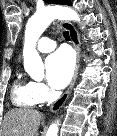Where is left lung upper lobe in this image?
Here are the masks:
<instances>
[{"label":"left lung upper lobe","instance_id":"left-lung-upper-lobe-1","mask_svg":"<svg viewBox=\"0 0 117 136\" xmlns=\"http://www.w3.org/2000/svg\"><path fill=\"white\" fill-rule=\"evenodd\" d=\"M46 3L51 4H62V5H71L72 3L68 0H44Z\"/></svg>","mask_w":117,"mask_h":136}]
</instances>
